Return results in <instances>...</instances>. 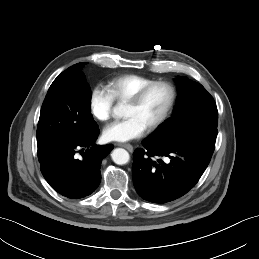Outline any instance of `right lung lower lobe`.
Wrapping results in <instances>:
<instances>
[{"label": "right lung lower lobe", "mask_w": 259, "mask_h": 259, "mask_svg": "<svg viewBox=\"0 0 259 259\" xmlns=\"http://www.w3.org/2000/svg\"><path fill=\"white\" fill-rule=\"evenodd\" d=\"M98 135L97 125L70 143L52 145L38 152L42 175L59 194L79 199L90 195L98 187L101 161L113 149L112 144H94Z\"/></svg>", "instance_id": "right-lung-lower-lobe-1"}]
</instances>
